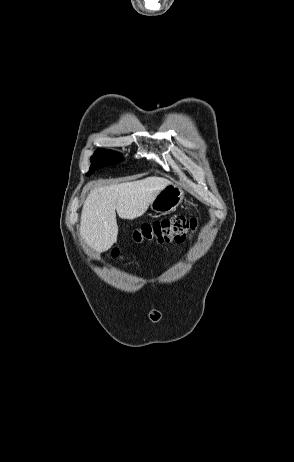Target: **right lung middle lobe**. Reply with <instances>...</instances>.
Wrapping results in <instances>:
<instances>
[{
    "mask_svg": "<svg viewBox=\"0 0 294 462\" xmlns=\"http://www.w3.org/2000/svg\"><path fill=\"white\" fill-rule=\"evenodd\" d=\"M93 156H104L110 158L114 162H120L122 156L116 152L106 150V149H98Z\"/></svg>",
    "mask_w": 294,
    "mask_h": 462,
    "instance_id": "right-lung-middle-lobe-1",
    "label": "right lung middle lobe"
}]
</instances>
